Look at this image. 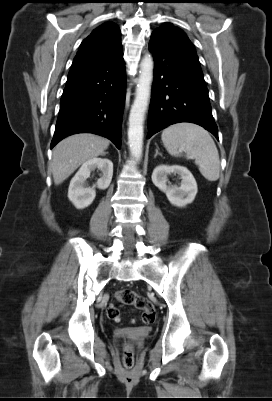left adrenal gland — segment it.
<instances>
[{
    "instance_id": "1",
    "label": "left adrenal gland",
    "mask_w": 272,
    "mask_h": 401,
    "mask_svg": "<svg viewBox=\"0 0 272 401\" xmlns=\"http://www.w3.org/2000/svg\"><path fill=\"white\" fill-rule=\"evenodd\" d=\"M158 155H160V156L162 157V154L159 152L158 149H156V153H155V155H154V158H156Z\"/></svg>"
}]
</instances>
